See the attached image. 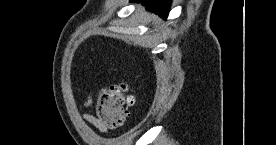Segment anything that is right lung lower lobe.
<instances>
[{"mask_svg": "<svg viewBox=\"0 0 276 145\" xmlns=\"http://www.w3.org/2000/svg\"><path fill=\"white\" fill-rule=\"evenodd\" d=\"M132 2H141L146 6L148 10H151L163 17L164 19L168 16V9L171 0H131Z\"/></svg>", "mask_w": 276, "mask_h": 145, "instance_id": "1", "label": "right lung lower lobe"}]
</instances>
